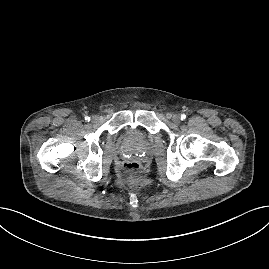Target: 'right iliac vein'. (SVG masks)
Wrapping results in <instances>:
<instances>
[{
	"label": "right iliac vein",
	"mask_w": 269,
	"mask_h": 269,
	"mask_svg": "<svg viewBox=\"0 0 269 269\" xmlns=\"http://www.w3.org/2000/svg\"><path fill=\"white\" fill-rule=\"evenodd\" d=\"M98 116H92V118H91V122L92 123H96V122H98Z\"/></svg>",
	"instance_id": "63e3f726"
}]
</instances>
